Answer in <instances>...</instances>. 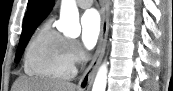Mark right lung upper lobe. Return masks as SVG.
Wrapping results in <instances>:
<instances>
[{
	"instance_id": "obj_1",
	"label": "right lung upper lobe",
	"mask_w": 173,
	"mask_h": 91,
	"mask_svg": "<svg viewBox=\"0 0 173 91\" xmlns=\"http://www.w3.org/2000/svg\"><path fill=\"white\" fill-rule=\"evenodd\" d=\"M55 0H29V8L24 20L22 33L35 29L48 15Z\"/></svg>"
}]
</instances>
